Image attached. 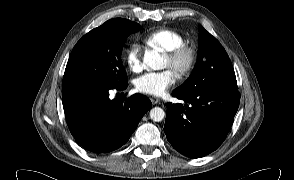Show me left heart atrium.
<instances>
[{"label":"left heart atrium","mask_w":294,"mask_h":180,"mask_svg":"<svg viewBox=\"0 0 294 180\" xmlns=\"http://www.w3.org/2000/svg\"><path fill=\"white\" fill-rule=\"evenodd\" d=\"M176 82L173 70L167 69L160 72H148L135 79L134 85L138 92L161 96Z\"/></svg>","instance_id":"39dd6f15"}]
</instances>
